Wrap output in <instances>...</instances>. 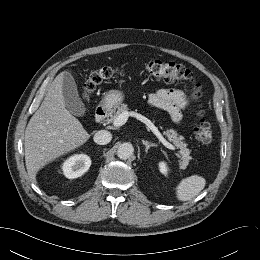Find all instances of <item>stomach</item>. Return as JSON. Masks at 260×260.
Wrapping results in <instances>:
<instances>
[{"mask_svg":"<svg viewBox=\"0 0 260 260\" xmlns=\"http://www.w3.org/2000/svg\"><path fill=\"white\" fill-rule=\"evenodd\" d=\"M124 100L123 92L119 90H110L103 97V104L107 108H115Z\"/></svg>","mask_w":260,"mask_h":260,"instance_id":"obj_1","label":"stomach"}]
</instances>
